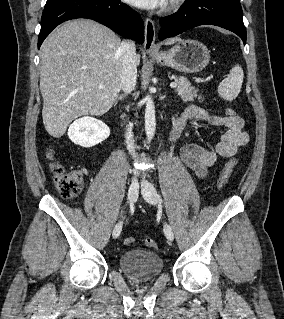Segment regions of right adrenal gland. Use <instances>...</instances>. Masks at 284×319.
<instances>
[{
	"label": "right adrenal gland",
	"mask_w": 284,
	"mask_h": 319,
	"mask_svg": "<svg viewBox=\"0 0 284 319\" xmlns=\"http://www.w3.org/2000/svg\"><path fill=\"white\" fill-rule=\"evenodd\" d=\"M125 96H126L125 94H121V95L116 99V101L114 102V104L116 105L119 100H123V99L125 98Z\"/></svg>",
	"instance_id": "right-adrenal-gland-1"
}]
</instances>
